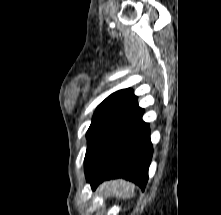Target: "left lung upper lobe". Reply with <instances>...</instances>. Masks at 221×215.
I'll list each match as a JSON object with an SVG mask.
<instances>
[{
	"instance_id": "5c2ea615",
	"label": "left lung upper lobe",
	"mask_w": 221,
	"mask_h": 215,
	"mask_svg": "<svg viewBox=\"0 0 221 215\" xmlns=\"http://www.w3.org/2000/svg\"><path fill=\"white\" fill-rule=\"evenodd\" d=\"M137 101L131 89H123L108 96L96 109L92 123L86 133L88 145L84 159L87 174L102 147L104 139L114 121Z\"/></svg>"
}]
</instances>
